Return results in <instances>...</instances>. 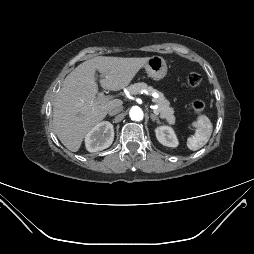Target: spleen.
Returning a JSON list of instances; mask_svg holds the SVG:
<instances>
[{"instance_id": "1", "label": "spleen", "mask_w": 254, "mask_h": 254, "mask_svg": "<svg viewBox=\"0 0 254 254\" xmlns=\"http://www.w3.org/2000/svg\"><path fill=\"white\" fill-rule=\"evenodd\" d=\"M195 127V134L187 140V146L192 151L202 148L208 142L213 131V125L206 115L198 116Z\"/></svg>"}]
</instances>
